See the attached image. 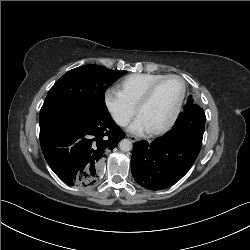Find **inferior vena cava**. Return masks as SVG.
Masks as SVG:
<instances>
[{
	"instance_id": "1",
	"label": "inferior vena cava",
	"mask_w": 250,
	"mask_h": 250,
	"mask_svg": "<svg viewBox=\"0 0 250 250\" xmlns=\"http://www.w3.org/2000/svg\"><path fill=\"white\" fill-rule=\"evenodd\" d=\"M115 121L120 126H127L130 122V119L128 117H125V116H117V117H115Z\"/></svg>"
}]
</instances>
